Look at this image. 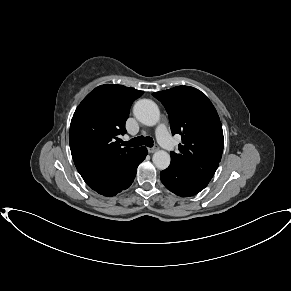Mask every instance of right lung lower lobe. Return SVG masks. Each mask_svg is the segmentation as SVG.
<instances>
[{
    "label": "right lung lower lobe",
    "mask_w": 291,
    "mask_h": 291,
    "mask_svg": "<svg viewBox=\"0 0 291 291\" xmlns=\"http://www.w3.org/2000/svg\"><path fill=\"white\" fill-rule=\"evenodd\" d=\"M146 155L147 149L142 146L113 164L76 162L75 166L91 189L110 197L127 189L132 184L137 167Z\"/></svg>",
    "instance_id": "right-lung-lower-lobe-1"
}]
</instances>
